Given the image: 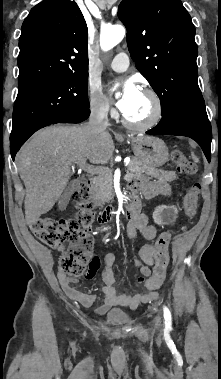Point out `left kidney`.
Returning <instances> with one entry per match:
<instances>
[{
  "label": "left kidney",
  "instance_id": "5707ae66",
  "mask_svg": "<svg viewBox=\"0 0 221 379\" xmlns=\"http://www.w3.org/2000/svg\"><path fill=\"white\" fill-rule=\"evenodd\" d=\"M178 210L175 206H159L153 212L154 222L157 224H170L177 218Z\"/></svg>",
  "mask_w": 221,
  "mask_h": 379
}]
</instances>
